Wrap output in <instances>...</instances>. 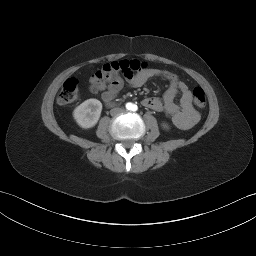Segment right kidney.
<instances>
[{
  "label": "right kidney",
  "instance_id": "obj_1",
  "mask_svg": "<svg viewBox=\"0 0 256 256\" xmlns=\"http://www.w3.org/2000/svg\"><path fill=\"white\" fill-rule=\"evenodd\" d=\"M102 111V103L97 99H88L77 106L73 111V117L77 124L88 129L96 125Z\"/></svg>",
  "mask_w": 256,
  "mask_h": 256
}]
</instances>
